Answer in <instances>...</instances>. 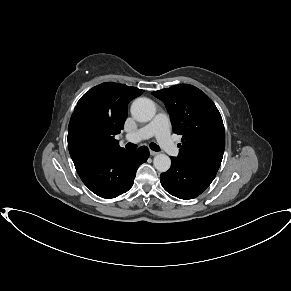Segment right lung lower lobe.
Here are the masks:
<instances>
[{
	"mask_svg": "<svg viewBox=\"0 0 291 291\" xmlns=\"http://www.w3.org/2000/svg\"><path fill=\"white\" fill-rule=\"evenodd\" d=\"M68 148L83 183L93 193L106 199L127 192L133 185L138 167L149 157V150L145 146L110 154L77 143L69 144Z\"/></svg>",
	"mask_w": 291,
	"mask_h": 291,
	"instance_id": "obj_1",
	"label": "right lung lower lobe"
}]
</instances>
